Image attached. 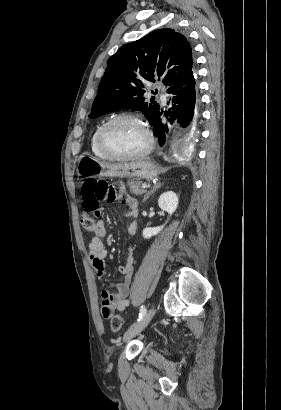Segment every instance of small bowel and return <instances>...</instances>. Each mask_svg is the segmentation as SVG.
<instances>
[{
  "label": "small bowel",
  "mask_w": 281,
  "mask_h": 410,
  "mask_svg": "<svg viewBox=\"0 0 281 410\" xmlns=\"http://www.w3.org/2000/svg\"><path fill=\"white\" fill-rule=\"evenodd\" d=\"M119 200L128 207V215L135 218L138 215V204L136 200L126 194H120ZM137 231V223L132 220L127 228V235L133 236ZM107 234L106 224L103 220L96 222L94 236L89 244V259L92 263L99 278H103L106 273L104 259L107 256V249L103 238ZM134 256L132 247L129 248V254L125 265L118 268V273L123 276V282L115 283V291L107 290L101 293V313L104 318L110 317L113 311H124L128 307V295L131 289V283L134 272Z\"/></svg>",
  "instance_id": "1"
}]
</instances>
